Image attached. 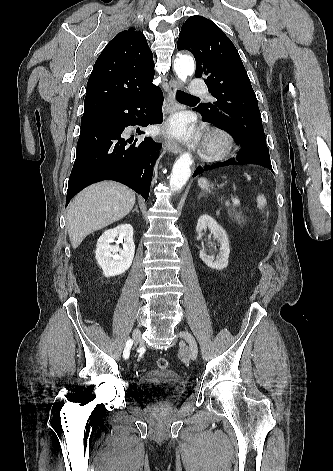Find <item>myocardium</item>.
<instances>
[{
	"label": "myocardium",
	"mask_w": 333,
	"mask_h": 471,
	"mask_svg": "<svg viewBox=\"0 0 333 471\" xmlns=\"http://www.w3.org/2000/svg\"><path fill=\"white\" fill-rule=\"evenodd\" d=\"M234 140L232 136L222 129H212L207 132L203 145L202 156L208 161L221 160L232 152Z\"/></svg>",
	"instance_id": "myocardium-1"
}]
</instances>
